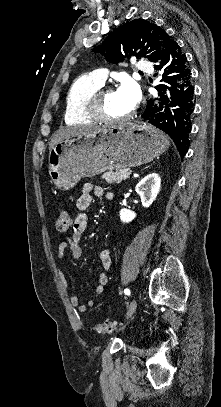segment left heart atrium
<instances>
[{
    "instance_id": "left-heart-atrium-1",
    "label": "left heart atrium",
    "mask_w": 221,
    "mask_h": 407,
    "mask_svg": "<svg viewBox=\"0 0 221 407\" xmlns=\"http://www.w3.org/2000/svg\"><path fill=\"white\" fill-rule=\"evenodd\" d=\"M117 92L125 100L126 104L131 108H135L141 98V92L138 85L131 79H123Z\"/></svg>"
}]
</instances>
